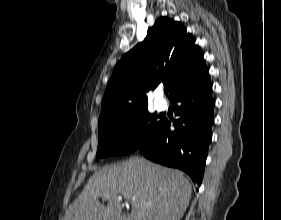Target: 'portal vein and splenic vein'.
I'll list each match as a JSON object with an SVG mask.
<instances>
[{"instance_id":"18ae733b","label":"portal vein and splenic vein","mask_w":281,"mask_h":220,"mask_svg":"<svg viewBox=\"0 0 281 220\" xmlns=\"http://www.w3.org/2000/svg\"><path fill=\"white\" fill-rule=\"evenodd\" d=\"M131 200H132V202H134L136 199H135V197H132V199H131Z\"/></svg>"}]
</instances>
